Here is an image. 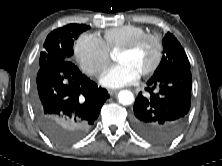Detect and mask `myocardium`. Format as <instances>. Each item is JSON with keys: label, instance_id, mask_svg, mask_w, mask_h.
Returning <instances> with one entry per match:
<instances>
[{"label": "myocardium", "instance_id": "myocardium-1", "mask_svg": "<svg viewBox=\"0 0 222 166\" xmlns=\"http://www.w3.org/2000/svg\"><path fill=\"white\" fill-rule=\"evenodd\" d=\"M147 40H151L156 47V53L153 63L149 68H147L144 72L140 74V76H148L151 75L153 72L156 71V69L159 67L162 58H163V45L160 40V38L155 34H149L145 33L141 36L136 37L134 40H132L130 43L124 45L121 47L118 52L120 53H129L134 50H136L142 43H144Z\"/></svg>", "mask_w": 222, "mask_h": 166}]
</instances>
